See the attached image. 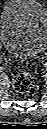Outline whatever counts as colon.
<instances>
[{"mask_svg":"<svg viewBox=\"0 0 47 129\" xmlns=\"http://www.w3.org/2000/svg\"><path fill=\"white\" fill-rule=\"evenodd\" d=\"M33 77L27 70L17 73L12 80L13 89L18 93H27L33 87Z\"/></svg>","mask_w":47,"mask_h":129,"instance_id":"1","label":"colon"}]
</instances>
